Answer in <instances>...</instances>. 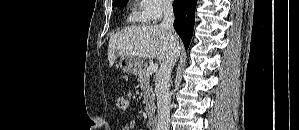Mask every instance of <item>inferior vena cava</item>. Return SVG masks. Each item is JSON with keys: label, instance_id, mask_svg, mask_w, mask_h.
<instances>
[{"label": "inferior vena cava", "instance_id": "obj_1", "mask_svg": "<svg viewBox=\"0 0 299 130\" xmlns=\"http://www.w3.org/2000/svg\"><path fill=\"white\" fill-rule=\"evenodd\" d=\"M174 12L172 2H166L163 8V21L160 26L168 31L171 50L166 59L161 63L156 73L155 93L157 96V130H170V93L169 81L171 71L180 53L179 38L175 33Z\"/></svg>", "mask_w": 299, "mask_h": 130}]
</instances>
